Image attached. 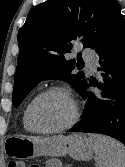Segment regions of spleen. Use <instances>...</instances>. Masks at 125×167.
<instances>
[{
  "mask_svg": "<svg viewBox=\"0 0 125 167\" xmlns=\"http://www.w3.org/2000/svg\"><path fill=\"white\" fill-rule=\"evenodd\" d=\"M99 167H125V146L100 134L90 136Z\"/></svg>",
  "mask_w": 125,
  "mask_h": 167,
  "instance_id": "1",
  "label": "spleen"
}]
</instances>
